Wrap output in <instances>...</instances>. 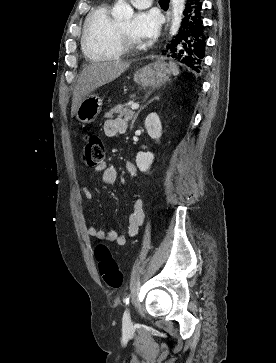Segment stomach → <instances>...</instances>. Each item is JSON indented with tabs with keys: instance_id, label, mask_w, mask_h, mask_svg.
Wrapping results in <instances>:
<instances>
[{
	"instance_id": "0dacf381",
	"label": "stomach",
	"mask_w": 276,
	"mask_h": 363,
	"mask_svg": "<svg viewBox=\"0 0 276 363\" xmlns=\"http://www.w3.org/2000/svg\"><path fill=\"white\" fill-rule=\"evenodd\" d=\"M171 69L167 63L157 59L134 74V81L144 88H155L169 79ZM102 108V100L96 94H89L79 104L76 117L82 123L95 121Z\"/></svg>"
}]
</instances>
